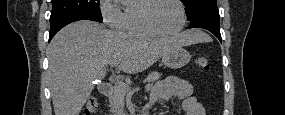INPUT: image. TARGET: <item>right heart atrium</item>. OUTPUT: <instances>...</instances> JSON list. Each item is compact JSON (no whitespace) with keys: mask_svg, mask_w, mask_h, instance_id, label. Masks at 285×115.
<instances>
[{"mask_svg":"<svg viewBox=\"0 0 285 115\" xmlns=\"http://www.w3.org/2000/svg\"><path fill=\"white\" fill-rule=\"evenodd\" d=\"M101 14L105 23L112 27L120 28L123 12L116 1L103 0L101 2Z\"/></svg>","mask_w":285,"mask_h":115,"instance_id":"obj_1","label":"right heart atrium"}]
</instances>
